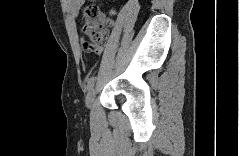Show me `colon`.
I'll return each instance as SVG.
<instances>
[{
  "label": "colon",
  "instance_id": "obj_1",
  "mask_svg": "<svg viewBox=\"0 0 239 156\" xmlns=\"http://www.w3.org/2000/svg\"><path fill=\"white\" fill-rule=\"evenodd\" d=\"M108 22L96 5H88L84 8L81 30L90 38V41H85L83 46L86 51L93 52L101 46L108 36L106 28Z\"/></svg>",
  "mask_w": 239,
  "mask_h": 156
}]
</instances>
